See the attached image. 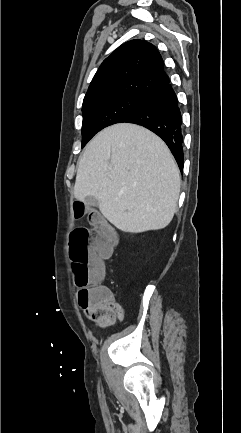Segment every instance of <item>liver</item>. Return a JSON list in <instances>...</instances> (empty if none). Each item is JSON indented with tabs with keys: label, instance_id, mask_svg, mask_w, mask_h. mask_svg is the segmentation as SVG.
<instances>
[{
	"label": "liver",
	"instance_id": "1",
	"mask_svg": "<svg viewBox=\"0 0 241 433\" xmlns=\"http://www.w3.org/2000/svg\"><path fill=\"white\" fill-rule=\"evenodd\" d=\"M180 172L166 144L148 129L119 123L99 132L81 156L74 197L93 196L124 232L163 229L176 212Z\"/></svg>",
	"mask_w": 241,
	"mask_h": 433
}]
</instances>
